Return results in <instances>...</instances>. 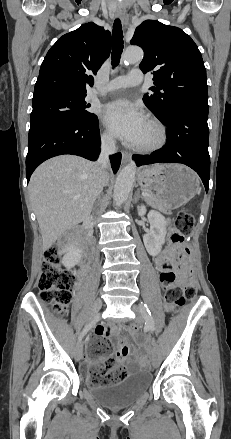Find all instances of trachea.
<instances>
[{"mask_svg": "<svg viewBox=\"0 0 231 439\" xmlns=\"http://www.w3.org/2000/svg\"><path fill=\"white\" fill-rule=\"evenodd\" d=\"M113 46H112V66L116 67L118 66L121 58V54L123 51V31H122V25L121 21L119 19H116L113 24Z\"/></svg>", "mask_w": 231, "mask_h": 439, "instance_id": "obj_1", "label": "trachea"}]
</instances>
